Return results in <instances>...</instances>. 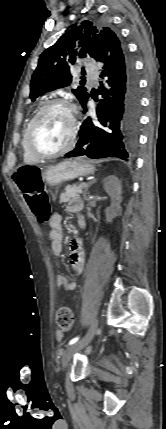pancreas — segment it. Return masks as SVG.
I'll use <instances>...</instances> for the list:
<instances>
[{"label": "pancreas", "mask_w": 166, "mask_h": 429, "mask_svg": "<svg viewBox=\"0 0 166 429\" xmlns=\"http://www.w3.org/2000/svg\"><path fill=\"white\" fill-rule=\"evenodd\" d=\"M84 187V186H83ZM82 187V188H83ZM82 188L77 185H68L65 187V192L60 195V203H66L82 193Z\"/></svg>", "instance_id": "obj_1"}]
</instances>
